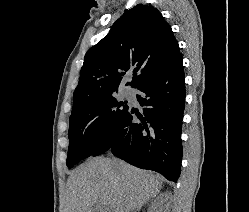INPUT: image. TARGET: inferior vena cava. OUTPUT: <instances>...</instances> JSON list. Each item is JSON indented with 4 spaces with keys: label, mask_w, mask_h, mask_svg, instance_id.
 Here are the masks:
<instances>
[{
    "label": "inferior vena cava",
    "mask_w": 249,
    "mask_h": 212,
    "mask_svg": "<svg viewBox=\"0 0 249 212\" xmlns=\"http://www.w3.org/2000/svg\"><path fill=\"white\" fill-rule=\"evenodd\" d=\"M129 208H130V206H129V204H127V206H125V212H129Z\"/></svg>",
    "instance_id": "inferior-vena-cava-1"
}]
</instances>
